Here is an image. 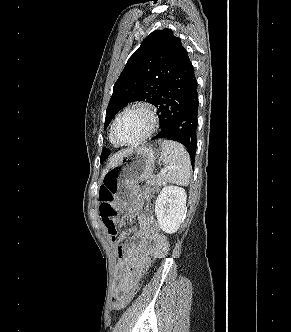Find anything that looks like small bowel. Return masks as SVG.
I'll use <instances>...</instances> for the list:
<instances>
[{"label":"small bowel","mask_w":291,"mask_h":332,"mask_svg":"<svg viewBox=\"0 0 291 332\" xmlns=\"http://www.w3.org/2000/svg\"><path fill=\"white\" fill-rule=\"evenodd\" d=\"M130 229L122 231L124 238ZM151 243V245H150ZM168 252V242L160 234L155 218L149 213L139 216L138 230L133 234L130 243L118 250V271L120 279L116 287V297L130 289L148 268L151 258H162Z\"/></svg>","instance_id":"c3829d8e"}]
</instances>
